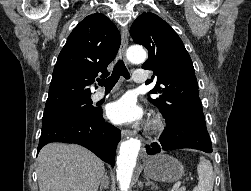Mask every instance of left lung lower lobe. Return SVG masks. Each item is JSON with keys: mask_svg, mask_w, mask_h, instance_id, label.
<instances>
[{"mask_svg": "<svg viewBox=\"0 0 251 191\" xmlns=\"http://www.w3.org/2000/svg\"><path fill=\"white\" fill-rule=\"evenodd\" d=\"M160 144L153 143L147 149L149 155L161 150L191 148L207 153L212 152L211 139L206 128L205 118L198 114H187L178 118L160 136Z\"/></svg>", "mask_w": 251, "mask_h": 191, "instance_id": "left-lung-lower-lobe-1", "label": "left lung lower lobe"}]
</instances>
